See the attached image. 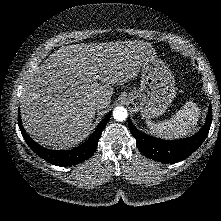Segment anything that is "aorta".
Segmentation results:
<instances>
[{
  "label": "aorta",
  "mask_w": 221,
  "mask_h": 221,
  "mask_svg": "<svg viewBox=\"0 0 221 221\" xmlns=\"http://www.w3.org/2000/svg\"><path fill=\"white\" fill-rule=\"evenodd\" d=\"M127 116V109L123 106H118L113 110V117L116 121H124Z\"/></svg>",
  "instance_id": "obj_1"
}]
</instances>
